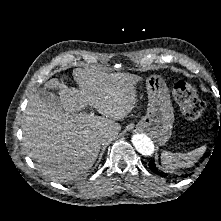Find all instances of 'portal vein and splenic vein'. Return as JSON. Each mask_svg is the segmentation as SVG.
<instances>
[{"instance_id": "portal-vein-and-splenic-vein-1", "label": "portal vein and splenic vein", "mask_w": 221, "mask_h": 221, "mask_svg": "<svg viewBox=\"0 0 221 221\" xmlns=\"http://www.w3.org/2000/svg\"><path fill=\"white\" fill-rule=\"evenodd\" d=\"M90 115L92 116V115H94V113H93V112H91V113H90Z\"/></svg>"}]
</instances>
